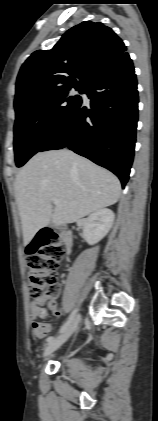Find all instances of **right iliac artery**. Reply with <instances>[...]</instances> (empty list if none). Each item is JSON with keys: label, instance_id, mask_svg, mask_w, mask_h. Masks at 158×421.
Returning a JSON list of instances; mask_svg holds the SVG:
<instances>
[{"label": "right iliac artery", "instance_id": "1", "mask_svg": "<svg viewBox=\"0 0 158 421\" xmlns=\"http://www.w3.org/2000/svg\"><path fill=\"white\" fill-rule=\"evenodd\" d=\"M76 313H77V308H75V309L72 311V313L70 314V316H69L68 320H67V321L63 324V326L60 328L59 333H62V332H64V331L67 329L68 325L71 323V321L73 320V318L76 316ZM53 339H54V337H53V336H50V337H48V338L46 339V341H47V342H50V341H52Z\"/></svg>", "mask_w": 158, "mask_h": 421}]
</instances>
